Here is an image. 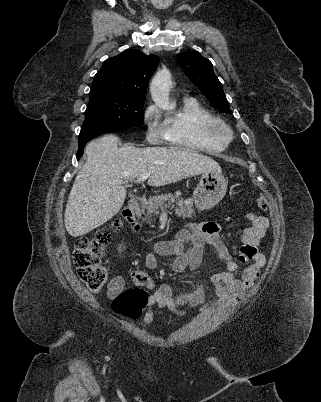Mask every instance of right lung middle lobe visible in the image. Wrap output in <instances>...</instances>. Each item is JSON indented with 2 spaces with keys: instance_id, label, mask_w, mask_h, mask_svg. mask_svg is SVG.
<instances>
[{
  "instance_id": "right-lung-middle-lobe-1",
  "label": "right lung middle lobe",
  "mask_w": 321,
  "mask_h": 402,
  "mask_svg": "<svg viewBox=\"0 0 321 402\" xmlns=\"http://www.w3.org/2000/svg\"><path fill=\"white\" fill-rule=\"evenodd\" d=\"M144 100H134L106 92H90L80 135L94 136L140 126Z\"/></svg>"
}]
</instances>
